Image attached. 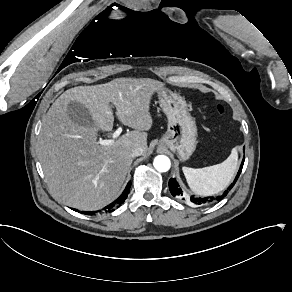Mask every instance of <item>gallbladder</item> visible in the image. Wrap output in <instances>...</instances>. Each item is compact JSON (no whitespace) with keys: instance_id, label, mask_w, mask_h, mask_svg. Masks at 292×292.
Returning a JSON list of instances; mask_svg holds the SVG:
<instances>
[{"instance_id":"bac80fb5","label":"gallbladder","mask_w":292,"mask_h":292,"mask_svg":"<svg viewBox=\"0 0 292 292\" xmlns=\"http://www.w3.org/2000/svg\"><path fill=\"white\" fill-rule=\"evenodd\" d=\"M67 112L71 120L78 124H88L92 120L88 109L78 102L69 103Z\"/></svg>"}]
</instances>
